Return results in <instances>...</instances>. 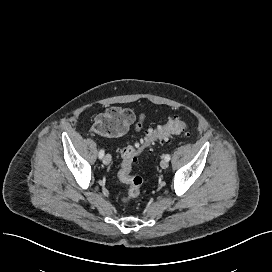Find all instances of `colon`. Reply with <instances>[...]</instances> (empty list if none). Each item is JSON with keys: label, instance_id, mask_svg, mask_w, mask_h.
I'll return each instance as SVG.
<instances>
[{"label": "colon", "instance_id": "obj_1", "mask_svg": "<svg viewBox=\"0 0 272 272\" xmlns=\"http://www.w3.org/2000/svg\"><path fill=\"white\" fill-rule=\"evenodd\" d=\"M130 119V113L126 109L111 107L95 118L93 130L102 136H120L128 129ZM136 129H140L139 124ZM188 129L186 120L181 116H175L165 124L149 129L144 138L126 145L121 150L118 177L127 185L126 194L120 197L123 204L137 198L141 191L142 177L132 174L133 164L138 156L150 149L157 141H167L174 134L187 133Z\"/></svg>", "mask_w": 272, "mask_h": 272}]
</instances>
